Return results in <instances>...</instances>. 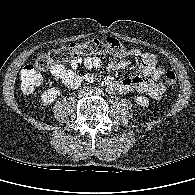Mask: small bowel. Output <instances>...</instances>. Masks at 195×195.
<instances>
[{
  "label": "small bowel",
  "mask_w": 195,
  "mask_h": 195,
  "mask_svg": "<svg viewBox=\"0 0 195 195\" xmlns=\"http://www.w3.org/2000/svg\"><path fill=\"white\" fill-rule=\"evenodd\" d=\"M130 54L131 57L141 60L138 74L121 80L107 76L103 81L104 86L110 92L128 93L136 91L147 94L154 99L161 98L165 89L159 79L165 74V71L157 67L158 60L156 55L136 48L130 49ZM129 64V61L114 56L106 63L105 67L108 71L114 72L126 68ZM81 65L91 71L101 68L102 61L96 56L76 57L70 61L68 66L63 64L54 65L50 68V72L55 79L61 81L65 86L75 89L82 82L91 83L94 80L90 72L83 75L78 74V69Z\"/></svg>",
  "instance_id": "1"
}]
</instances>
